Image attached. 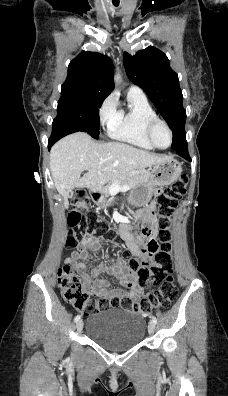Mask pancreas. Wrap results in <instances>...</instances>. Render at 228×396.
Wrapping results in <instances>:
<instances>
[{
    "mask_svg": "<svg viewBox=\"0 0 228 396\" xmlns=\"http://www.w3.org/2000/svg\"><path fill=\"white\" fill-rule=\"evenodd\" d=\"M148 179L146 172L145 171H140L136 172L133 174H127L125 176H122L116 180L110 181L107 186L104 187L103 191L107 195H111L112 193V187L114 185H119V187H123L125 185L130 186V188H134L139 186L140 184L146 182Z\"/></svg>",
    "mask_w": 228,
    "mask_h": 396,
    "instance_id": "cf45deb5",
    "label": "pancreas"
}]
</instances>
